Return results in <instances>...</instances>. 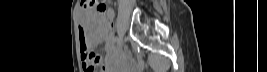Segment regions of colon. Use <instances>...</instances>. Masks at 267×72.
<instances>
[{"label":"colon","instance_id":"5ec220e1","mask_svg":"<svg viewBox=\"0 0 267 72\" xmlns=\"http://www.w3.org/2000/svg\"><path fill=\"white\" fill-rule=\"evenodd\" d=\"M82 4L94 15L101 17L102 29L108 30L111 27V23L105 18L106 13V1L104 0H83ZM88 48L87 43L81 44V50ZM101 62L100 56L94 52H87V64L84 66L86 72H97L98 66Z\"/></svg>","mask_w":267,"mask_h":72}]
</instances>
